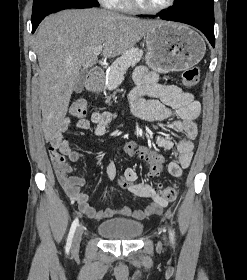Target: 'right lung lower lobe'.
I'll return each mask as SVG.
<instances>
[{
  "label": "right lung lower lobe",
  "instance_id": "98d812e1",
  "mask_svg": "<svg viewBox=\"0 0 247 280\" xmlns=\"http://www.w3.org/2000/svg\"><path fill=\"white\" fill-rule=\"evenodd\" d=\"M90 7H93V6L87 5V4H69V5H64L59 8H56L53 11H51V13L56 12L58 10H62V9H68V8H90ZM41 21H42V19L32 22V33L36 30L37 26L39 25V23Z\"/></svg>",
  "mask_w": 247,
  "mask_h": 280
}]
</instances>
